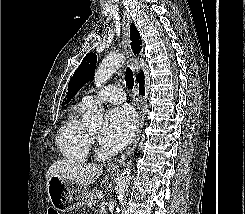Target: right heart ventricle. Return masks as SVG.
<instances>
[{
    "label": "right heart ventricle",
    "mask_w": 245,
    "mask_h": 214,
    "mask_svg": "<svg viewBox=\"0 0 245 214\" xmlns=\"http://www.w3.org/2000/svg\"><path fill=\"white\" fill-rule=\"evenodd\" d=\"M86 105L82 102L74 105L56 136V146L61 155L73 162H83L89 152L87 131L80 122Z\"/></svg>",
    "instance_id": "right-heart-ventricle-1"
}]
</instances>
